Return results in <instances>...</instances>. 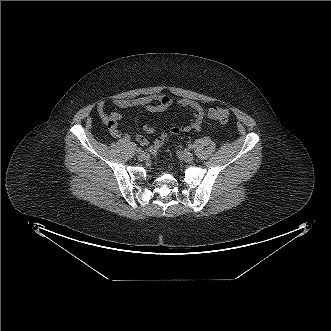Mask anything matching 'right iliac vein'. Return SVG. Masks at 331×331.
<instances>
[{"label": "right iliac vein", "instance_id": "63e3f726", "mask_svg": "<svg viewBox=\"0 0 331 331\" xmlns=\"http://www.w3.org/2000/svg\"><path fill=\"white\" fill-rule=\"evenodd\" d=\"M146 157H147V154L145 152H143V151L138 154V159L139 160H145Z\"/></svg>", "mask_w": 331, "mask_h": 331}]
</instances>
